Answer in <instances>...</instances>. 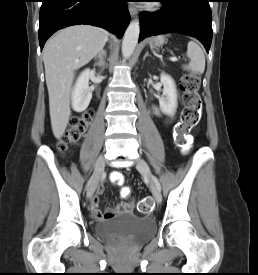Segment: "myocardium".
Here are the masks:
<instances>
[{
	"instance_id": "1",
	"label": "myocardium",
	"mask_w": 258,
	"mask_h": 275,
	"mask_svg": "<svg viewBox=\"0 0 258 275\" xmlns=\"http://www.w3.org/2000/svg\"><path fill=\"white\" fill-rule=\"evenodd\" d=\"M148 7L150 9H158L160 7V3H152Z\"/></svg>"
}]
</instances>
